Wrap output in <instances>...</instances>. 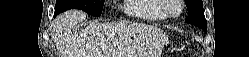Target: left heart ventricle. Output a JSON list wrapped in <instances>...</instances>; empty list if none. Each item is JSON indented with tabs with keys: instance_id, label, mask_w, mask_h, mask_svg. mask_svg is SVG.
Returning <instances> with one entry per match:
<instances>
[{
	"instance_id": "obj_1",
	"label": "left heart ventricle",
	"mask_w": 249,
	"mask_h": 57,
	"mask_svg": "<svg viewBox=\"0 0 249 57\" xmlns=\"http://www.w3.org/2000/svg\"><path fill=\"white\" fill-rule=\"evenodd\" d=\"M171 13L172 14H176L178 12V7L176 5H174L172 8H171Z\"/></svg>"
}]
</instances>
